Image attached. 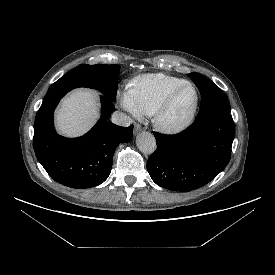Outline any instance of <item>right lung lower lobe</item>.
<instances>
[{"label": "right lung lower lobe", "instance_id": "obj_1", "mask_svg": "<svg viewBox=\"0 0 275 275\" xmlns=\"http://www.w3.org/2000/svg\"><path fill=\"white\" fill-rule=\"evenodd\" d=\"M67 92H51L44 97L34 123V151L56 182L71 188L94 187L108 178L114 151L120 143L131 140L133 126L121 127L106 122L114 105L113 100L101 96L102 118L87 134L75 139L57 135L53 113Z\"/></svg>", "mask_w": 275, "mask_h": 275}]
</instances>
